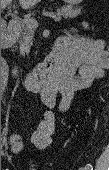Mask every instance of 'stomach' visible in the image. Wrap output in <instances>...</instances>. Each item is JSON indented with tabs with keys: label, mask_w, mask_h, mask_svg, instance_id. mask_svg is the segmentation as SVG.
Instances as JSON below:
<instances>
[{
	"label": "stomach",
	"mask_w": 109,
	"mask_h": 170,
	"mask_svg": "<svg viewBox=\"0 0 109 170\" xmlns=\"http://www.w3.org/2000/svg\"><path fill=\"white\" fill-rule=\"evenodd\" d=\"M83 0H64V2L67 4V6H74L78 5L82 2Z\"/></svg>",
	"instance_id": "0dacf381"
}]
</instances>
